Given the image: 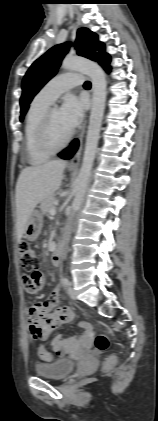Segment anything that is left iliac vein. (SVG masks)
Returning <instances> with one entry per match:
<instances>
[{
  "instance_id": "1",
  "label": "left iliac vein",
  "mask_w": 158,
  "mask_h": 421,
  "mask_svg": "<svg viewBox=\"0 0 158 421\" xmlns=\"http://www.w3.org/2000/svg\"><path fill=\"white\" fill-rule=\"evenodd\" d=\"M68 293H69V296L73 299V300H75L76 299V294H75V291H74V289H73V287H72V284L70 283L69 284V286H68Z\"/></svg>"
}]
</instances>
